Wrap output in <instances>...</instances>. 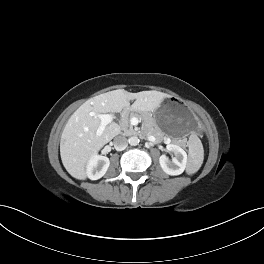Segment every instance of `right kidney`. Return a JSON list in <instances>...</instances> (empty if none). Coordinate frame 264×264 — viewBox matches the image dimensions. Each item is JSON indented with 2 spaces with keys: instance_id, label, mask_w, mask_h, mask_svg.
<instances>
[{
  "instance_id": "1",
  "label": "right kidney",
  "mask_w": 264,
  "mask_h": 264,
  "mask_svg": "<svg viewBox=\"0 0 264 264\" xmlns=\"http://www.w3.org/2000/svg\"><path fill=\"white\" fill-rule=\"evenodd\" d=\"M110 165L109 158L101 155H93L87 163L86 173L89 179L98 180L103 177Z\"/></svg>"
}]
</instances>
